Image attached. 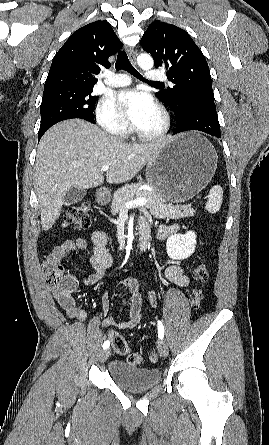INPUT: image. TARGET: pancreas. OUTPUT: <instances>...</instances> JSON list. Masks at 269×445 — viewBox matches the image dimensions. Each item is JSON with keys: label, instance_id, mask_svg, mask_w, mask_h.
<instances>
[{"label": "pancreas", "instance_id": "cf45deb5", "mask_svg": "<svg viewBox=\"0 0 269 445\" xmlns=\"http://www.w3.org/2000/svg\"><path fill=\"white\" fill-rule=\"evenodd\" d=\"M142 183L126 184L114 193L111 204V213L113 215L119 213L124 208L125 203L137 199L147 198L148 202L145 204L146 208L156 218L179 219L193 216L195 210L190 205H176L166 203V200L160 195L150 191H139L138 188Z\"/></svg>", "mask_w": 269, "mask_h": 445}]
</instances>
